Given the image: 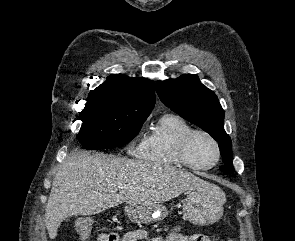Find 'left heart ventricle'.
<instances>
[{"label":"left heart ventricle","mask_w":295,"mask_h":241,"mask_svg":"<svg viewBox=\"0 0 295 241\" xmlns=\"http://www.w3.org/2000/svg\"><path fill=\"white\" fill-rule=\"evenodd\" d=\"M190 160L200 166L211 165L216 159L214 144L204 135H196L188 148Z\"/></svg>","instance_id":"b2bd125f"}]
</instances>
